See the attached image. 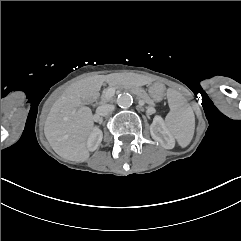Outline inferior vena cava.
Here are the masks:
<instances>
[{
	"mask_svg": "<svg viewBox=\"0 0 241 241\" xmlns=\"http://www.w3.org/2000/svg\"><path fill=\"white\" fill-rule=\"evenodd\" d=\"M115 109V106L112 104H103L99 106L96 110L97 115L106 116Z\"/></svg>",
	"mask_w": 241,
	"mask_h": 241,
	"instance_id": "602c4592",
	"label": "inferior vena cava"
}]
</instances>
